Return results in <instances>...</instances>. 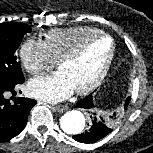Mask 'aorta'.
<instances>
[{
	"mask_svg": "<svg viewBox=\"0 0 153 153\" xmlns=\"http://www.w3.org/2000/svg\"><path fill=\"white\" fill-rule=\"evenodd\" d=\"M85 116L77 110L68 111L61 117V129L67 134H80L85 127Z\"/></svg>",
	"mask_w": 153,
	"mask_h": 153,
	"instance_id": "aorta-1",
	"label": "aorta"
}]
</instances>
